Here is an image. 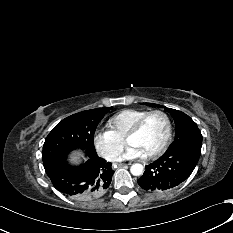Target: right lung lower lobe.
I'll return each mask as SVG.
<instances>
[{"mask_svg":"<svg viewBox=\"0 0 233 233\" xmlns=\"http://www.w3.org/2000/svg\"><path fill=\"white\" fill-rule=\"evenodd\" d=\"M88 156V160L78 166L70 165L65 157L45 169L54 187L65 196L90 200L109 187L114 173L112 164L97 154Z\"/></svg>","mask_w":233,"mask_h":233,"instance_id":"right-lung-lower-lobe-1","label":"right lung lower lobe"}]
</instances>
